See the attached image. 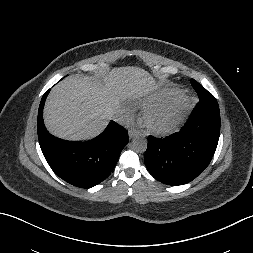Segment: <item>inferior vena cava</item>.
Listing matches in <instances>:
<instances>
[{
  "label": "inferior vena cava",
  "instance_id": "602c4592",
  "mask_svg": "<svg viewBox=\"0 0 253 253\" xmlns=\"http://www.w3.org/2000/svg\"><path fill=\"white\" fill-rule=\"evenodd\" d=\"M112 119L120 124H127L128 123V119L126 118V116L123 113H114L112 116Z\"/></svg>",
  "mask_w": 253,
  "mask_h": 253
}]
</instances>
